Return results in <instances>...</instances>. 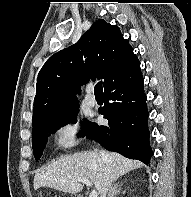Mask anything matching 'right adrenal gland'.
Instances as JSON below:
<instances>
[{"instance_id": "obj_1", "label": "right adrenal gland", "mask_w": 191, "mask_h": 197, "mask_svg": "<svg viewBox=\"0 0 191 197\" xmlns=\"http://www.w3.org/2000/svg\"><path fill=\"white\" fill-rule=\"evenodd\" d=\"M121 192V185L116 183L112 186L108 197H116Z\"/></svg>"}]
</instances>
